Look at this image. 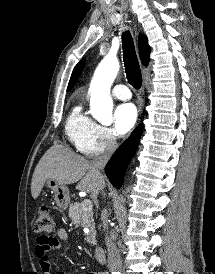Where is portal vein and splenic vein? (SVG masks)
I'll list each match as a JSON object with an SVG mask.
<instances>
[{
  "instance_id": "obj_1",
  "label": "portal vein and splenic vein",
  "mask_w": 215,
  "mask_h": 274,
  "mask_svg": "<svg viewBox=\"0 0 215 274\" xmlns=\"http://www.w3.org/2000/svg\"><path fill=\"white\" fill-rule=\"evenodd\" d=\"M82 204H83V211H91L92 202L89 199H84Z\"/></svg>"
}]
</instances>
